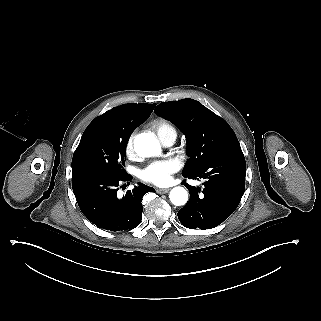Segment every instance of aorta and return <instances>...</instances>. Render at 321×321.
I'll return each mask as SVG.
<instances>
[{"mask_svg":"<svg viewBox=\"0 0 321 321\" xmlns=\"http://www.w3.org/2000/svg\"><path fill=\"white\" fill-rule=\"evenodd\" d=\"M134 148L138 155L151 157L161 152L159 142L147 133L139 134L134 139ZM170 201L175 206H182L188 201V193L183 187H174L169 194Z\"/></svg>","mask_w":321,"mask_h":321,"instance_id":"aorta-1","label":"aorta"}]
</instances>
